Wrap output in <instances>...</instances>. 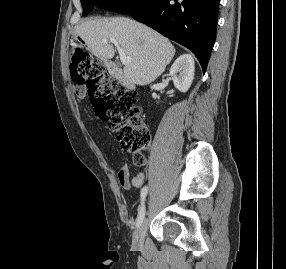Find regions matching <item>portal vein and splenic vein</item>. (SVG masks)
Here are the masks:
<instances>
[{"mask_svg": "<svg viewBox=\"0 0 286 269\" xmlns=\"http://www.w3.org/2000/svg\"><path fill=\"white\" fill-rule=\"evenodd\" d=\"M111 43L115 44V46L117 47L118 49V52H119V56H120V61L123 65H128L132 62V58L130 56H127L125 54V52L122 50V48L119 46L118 42L116 39L114 38H111L109 40ZM103 42L104 43H108V40L107 39H103Z\"/></svg>", "mask_w": 286, "mask_h": 269, "instance_id": "portal-vein-and-splenic-vein-1", "label": "portal vein and splenic vein"}]
</instances>
